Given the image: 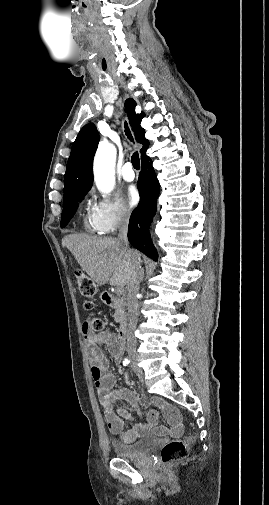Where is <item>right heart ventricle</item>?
Returning a JSON list of instances; mask_svg holds the SVG:
<instances>
[{"instance_id": "right-heart-ventricle-1", "label": "right heart ventricle", "mask_w": 269, "mask_h": 505, "mask_svg": "<svg viewBox=\"0 0 269 505\" xmlns=\"http://www.w3.org/2000/svg\"><path fill=\"white\" fill-rule=\"evenodd\" d=\"M83 226L89 232H100L94 220L93 207L87 206L83 214Z\"/></svg>"}]
</instances>
